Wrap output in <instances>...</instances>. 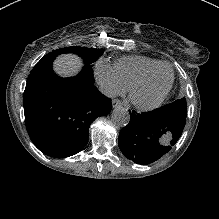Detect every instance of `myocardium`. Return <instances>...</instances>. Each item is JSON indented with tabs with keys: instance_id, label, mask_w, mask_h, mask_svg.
<instances>
[{
	"instance_id": "myocardium-1",
	"label": "myocardium",
	"mask_w": 219,
	"mask_h": 219,
	"mask_svg": "<svg viewBox=\"0 0 219 219\" xmlns=\"http://www.w3.org/2000/svg\"><path fill=\"white\" fill-rule=\"evenodd\" d=\"M160 66H167L171 71V81L168 85V88L162 93V95L158 99H156L153 102L142 103V102L136 101L133 98V91L136 88V86L139 85L141 82H143L147 76L152 74ZM174 80H175V74H174L172 67L169 64H166L164 62H159L156 65L151 66L148 69H146L144 72H142L136 79H134L130 83L128 87V100L134 107H136L139 110H149V109L156 108L157 106L161 105L166 100L167 96L169 95L172 89Z\"/></svg>"
}]
</instances>
